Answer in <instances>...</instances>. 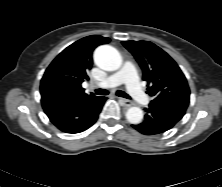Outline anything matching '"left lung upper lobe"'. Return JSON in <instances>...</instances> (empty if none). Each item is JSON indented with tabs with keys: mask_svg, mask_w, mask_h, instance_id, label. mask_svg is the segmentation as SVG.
Here are the masks:
<instances>
[{
	"mask_svg": "<svg viewBox=\"0 0 222 187\" xmlns=\"http://www.w3.org/2000/svg\"><path fill=\"white\" fill-rule=\"evenodd\" d=\"M133 54L147 82L151 102L164 99L189 100L187 80L176 62L161 48L149 41H123Z\"/></svg>",
	"mask_w": 222,
	"mask_h": 187,
	"instance_id": "5c2ea615",
	"label": "left lung upper lobe"
}]
</instances>
